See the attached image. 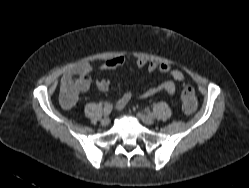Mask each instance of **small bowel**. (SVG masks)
I'll return each mask as SVG.
<instances>
[{"label":"small bowel","mask_w":249,"mask_h":188,"mask_svg":"<svg viewBox=\"0 0 249 188\" xmlns=\"http://www.w3.org/2000/svg\"><path fill=\"white\" fill-rule=\"evenodd\" d=\"M124 58L121 56L114 57L112 59L104 61L100 65V69L103 71L107 70H115L120 69L124 65ZM146 61L142 58L137 59L136 65L139 68H142L146 65ZM147 69L150 72L159 71L174 81L184 84L185 83V76L182 71L178 69H173L169 64L160 63L156 61H152L148 63ZM91 66L89 63H81L69 71H67L62 79H61V92H62V105L64 108H71L75 105L78 99V95L87 90L91 84L92 80L90 77ZM96 88L101 91L105 92L110 87V82L107 79H100L95 82ZM160 91H165L169 95H174L176 92V85L172 80H167L162 82L156 87L149 88L143 91L140 95L142 97H151L157 94ZM66 95L69 96V99H66ZM132 98V92L127 91L125 92L115 103V107L117 109H123L129 103Z\"/></svg>","instance_id":"small-bowel-1"}]
</instances>
